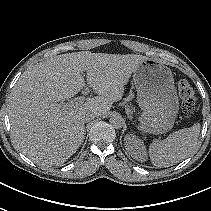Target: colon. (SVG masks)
<instances>
[{"instance_id":"colon-1","label":"colon","mask_w":211,"mask_h":211,"mask_svg":"<svg viewBox=\"0 0 211 211\" xmlns=\"http://www.w3.org/2000/svg\"><path fill=\"white\" fill-rule=\"evenodd\" d=\"M177 90L184 113H193L196 105V96L193 86L187 80L180 79L177 83Z\"/></svg>"}]
</instances>
